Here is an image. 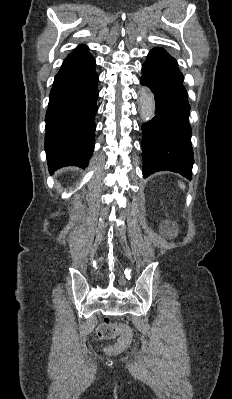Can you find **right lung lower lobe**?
Listing matches in <instances>:
<instances>
[{
  "mask_svg": "<svg viewBox=\"0 0 232 399\" xmlns=\"http://www.w3.org/2000/svg\"><path fill=\"white\" fill-rule=\"evenodd\" d=\"M97 82L95 59L88 50L70 53L55 76L45 118L50 172L88 165L94 150Z\"/></svg>",
  "mask_w": 232,
  "mask_h": 399,
  "instance_id": "right-lung-lower-lobe-1",
  "label": "right lung lower lobe"
}]
</instances>
